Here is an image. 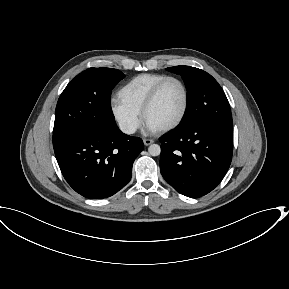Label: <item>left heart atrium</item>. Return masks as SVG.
<instances>
[{"instance_id":"39dd6f15","label":"left heart atrium","mask_w":289,"mask_h":289,"mask_svg":"<svg viewBox=\"0 0 289 289\" xmlns=\"http://www.w3.org/2000/svg\"><path fill=\"white\" fill-rule=\"evenodd\" d=\"M145 130L148 133H154V132H157L159 130V128H157V127H155V126H153V125H151V124L146 122Z\"/></svg>"}]
</instances>
